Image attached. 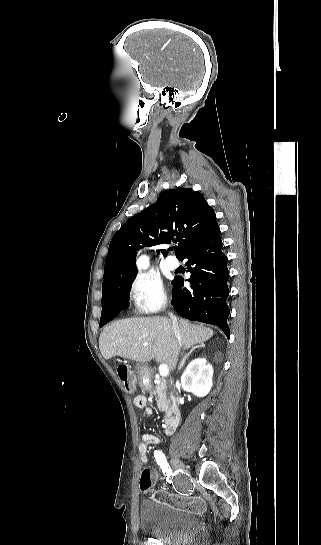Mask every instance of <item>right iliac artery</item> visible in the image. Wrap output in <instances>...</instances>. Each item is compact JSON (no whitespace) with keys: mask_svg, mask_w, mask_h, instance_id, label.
Here are the masks:
<instances>
[{"mask_svg":"<svg viewBox=\"0 0 321 545\" xmlns=\"http://www.w3.org/2000/svg\"><path fill=\"white\" fill-rule=\"evenodd\" d=\"M154 457H155L158 465L162 469V472L166 475L167 482L171 483L172 482L171 481L172 470H171V467L169 466V464L167 462V459H166L165 455L163 454L162 451L156 450V451H154Z\"/></svg>","mask_w":321,"mask_h":545,"instance_id":"right-iliac-artery-1","label":"right iliac artery"}]
</instances>
